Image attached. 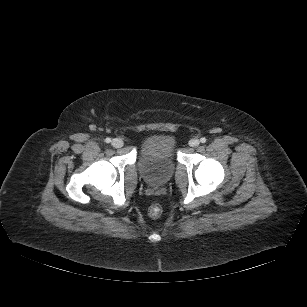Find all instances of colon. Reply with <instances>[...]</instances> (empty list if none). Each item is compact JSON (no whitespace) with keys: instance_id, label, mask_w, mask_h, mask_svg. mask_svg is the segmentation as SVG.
I'll use <instances>...</instances> for the list:
<instances>
[{"instance_id":"1","label":"colon","mask_w":307,"mask_h":307,"mask_svg":"<svg viewBox=\"0 0 307 307\" xmlns=\"http://www.w3.org/2000/svg\"><path fill=\"white\" fill-rule=\"evenodd\" d=\"M162 214V208L158 204H153L149 208V215L153 218H157Z\"/></svg>"}]
</instances>
